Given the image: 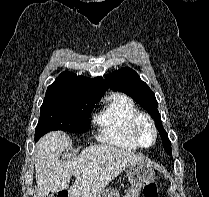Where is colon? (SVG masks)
Returning a JSON list of instances; mask_svg holds the SVG:
<instances>
[{
  "label": "colon",
  "mask_w": 209,
  "mask_h": 197,
  "mask_svg": "<svg viewBox=\"0 0 209 197\" xmlns=\"http://www.w3.org/2000/svg\"><path fill=\"white\" fill-rule=\"evenodd\" d=\"M144 197H158V188L156 183H149L144 187ZM57 197H68L66 193H59Z\"/></svg>",
  "instance_id": "1"
}]
</instances>
